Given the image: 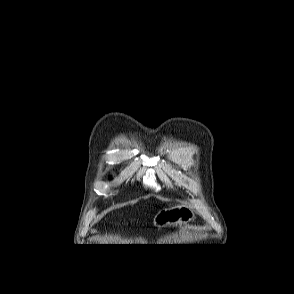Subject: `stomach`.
<instances>
[{
    "label": "stomach",
    "instance_id": "1",
    "mask_svg": "<svg viewBox=\"0 0 294 294\" xmlns=\"http://www.w3.org/2000/svg\"><path fill=\"white\" fill-rule=\"evenodd\" d=\"M192 211L182 205H176L160 210L154 217V225L165 227L189 222L193 219Z\"/></svg>",
    "mask_w": 294,
    "mask_h": 294
}]
</instances>
